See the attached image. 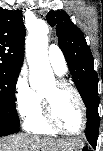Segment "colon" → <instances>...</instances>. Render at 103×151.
Returning a JSON list of instances; mask_svg holds the SVG:
<instances>
[{
    "mask_svg": "<svg viewBox=\"0 0 103 151\" xmlns=\"http://www.w3.org/2000/svg\"><path fill=\"white\" fill-rule=\"evenodd\" d=\"M83 151H90L88 148H84Z\"/></svg>",
    "mask_w": 103,
    "mask_h": 151,
    "instance_id": "colon-1",
    "label": "colon"
}]
</instances>
